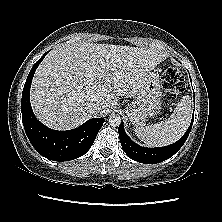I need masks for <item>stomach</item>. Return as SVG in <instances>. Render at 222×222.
Listing matches in <instances>:
<instances>
[{
    "label": "stomach",
    "instance_id": "0dacf381",
    "mask_svg": "<svg viewBox=\"0 0 222 222\" xmlns=\"http://www.w3.org/2000/svg\"><path fill=\"white\" fill-rule=\"evenodd\" d=\"M161 86L158 74L149 72L142 87L127 110L130 121L137 125H143L145 120L155 117L161 109Z\"/></svg>",
    "mask_w": 222,
    "mask_h": 222
}]
</instances>
